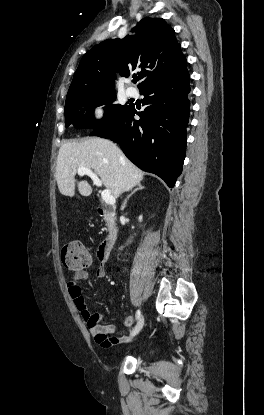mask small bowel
<instances>
[{"label":"small bowel","mask_w":264,"mask_h":415,"mask_svg":"<svg viewBox=\"0 0 264 415\" xmlns=\"http://www.w3.org/2000/svg\"><path fill=\"white\" fill-rule=\"evenodd\" d=\"M106 269L103 264H100L95 270V276L98 279L105 277ZM88 273L86 267L78 268L75 270V275L72 279L67 281V289L72 300L75 302L78 311L81 313L84 321L88 325V329L96 342L105 348H111L116 345L127 343L131 340L130 335L115 337L113 334L116 332V326L114 324H100L99 321L103 318L100 313H90L85 305L81 282L86 281ZM133 321L132 316H124L122 323L124 326H130Z\"/></svg>","instance_id":"small-bowel-1"}]
</instances>
